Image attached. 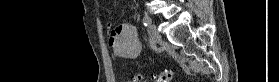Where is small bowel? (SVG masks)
<instances>
[{"label": "small bowel", "instance_id": "obj_1", "mask_svg": "<svg viewBox=\"0 0 279 82\" xmlns=\"http://www.w3.org/2000/svg\"><path fill=\"white\" fill-rule=\"evenodd\" d=\"M109 43L114 55L124 59L137 58L141 51V44L133 25H122L110 31Z\"/></svg>", "mask_w": 279, "mask_h": 82}]
</instances>
